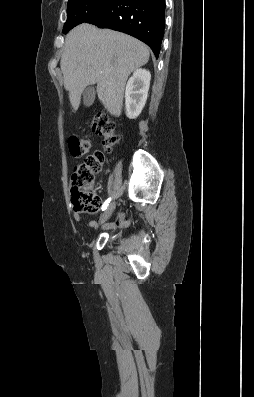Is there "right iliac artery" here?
Instances as JSON below:
<instances>
[{"instance_id": "right-iliac-artery-1", "label": "right iliac artery", "mask_w": 254, "mask_h": 397, "mask_svg": "<svg viewBox=\"0 0 254 397\" xmlns=\"http://www.w3.org/2000/svg\"><path fill=\"white\" fill-rule=\"evenodd\" d=\"M110 201H111V198H108V199L104 202V204H103V206H102V210H105V209L108 207Z\"/></svg>"}]
</instances>
